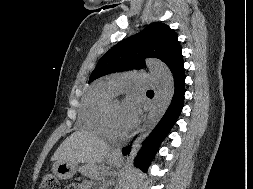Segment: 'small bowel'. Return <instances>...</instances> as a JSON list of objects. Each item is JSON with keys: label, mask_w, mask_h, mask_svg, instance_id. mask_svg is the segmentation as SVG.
Masks as SVG:
<instances>
[{"label": "small bowel", "mask_w": 253, "mask_h": 189, "mask_svg": "<svg viewBox=\"0 0 253 189\" xmlns=\"http://www.w3.org/2000/svg\"><path fill=\"white\" fill-rule=\"evenodd\" d=\"M68 189H89V184L88 183L73 184L69 186Z\"/></svg>", "instance_id": "c3829d8e"}]
</instances>
